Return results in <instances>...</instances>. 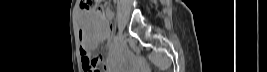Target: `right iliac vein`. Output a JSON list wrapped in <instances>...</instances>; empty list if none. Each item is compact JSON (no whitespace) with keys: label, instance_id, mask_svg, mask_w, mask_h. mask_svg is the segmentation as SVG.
<instances>
[{"label":"right iliac vein","instance_id":"63e3f726","mask_svg":"<svg viewBox=\"0 0 267 72\" xmlns=\"http://www.w3.org/2000/svg\"><path fill=\"white\" fill-rule=\"evenodd\" d=\"M119 36H120L119 43L124 44V42H125L124 36L122 34H120Z\"/></svg>","mask_w":267,"mask_h":72}]
</instances>
